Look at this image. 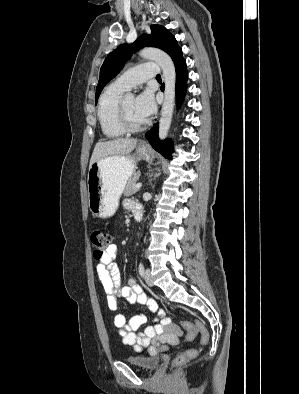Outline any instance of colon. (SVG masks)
Listing matches in <instances>:
<instances>
[{
  "instance_id": "colon-1",
  "label": "colon",
  "mask_w": 299,
  "mask_h": 394,
  "mask_svg": "<svg viewBox=\"0 0 299 394\" xmlns=\"http://www.w3.org/2000/svg\"><path fill=\"white\" fill-rule=\"evenodd\" d=\"M90 241L93 247V254L95 257H103L111 244V236L109 232L102 228H94L90 233ZM182 327L187 331V340L191 341L199 333L201 335L200 342L203 346L207 345L210 340V335L207 328L199 321L195 324L190 322H182ZM197 355L195 349H189L179 354L175 359V364L182 365L194 359Z\"/></svg>"
}]
</instances>
